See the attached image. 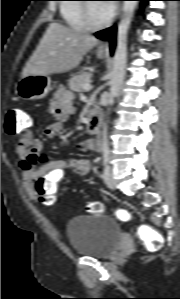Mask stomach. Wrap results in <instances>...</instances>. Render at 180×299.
I'll return each instance as SVG.
<instances>
[{"label":"stomach","mask_w":180,"mask_h":299,"mask_svg":"<svg viewBox=\"0 0 180 299\" xmlns=\"http://www.w3.org/2000/svg\"><path fill=\"white\" fill-rule=\"evenodd\" d=\"M97 56L102 58L104 54L98 51ZM51 91V79L49 75H27L21 77L16 85V93L23 100H39L45 98Z\"/></svg>","instance_id":"obj_1"}]
</instances>
